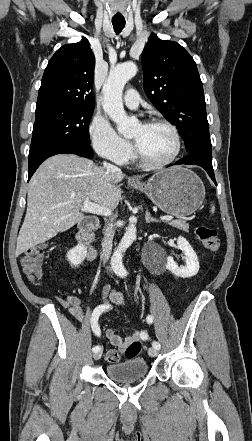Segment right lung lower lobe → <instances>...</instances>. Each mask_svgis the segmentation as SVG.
<instances>
[{"label":"right lung lower lobe","instance_id":"right-lung-lower-lobe-1","mask_svg":"<svg viewBox=\"0 0 252 441\" xmlns=\"http://www.w3.org/2000/svg\"><path fill=\"white\" fill-rule=\"evenodd\" d=\"M61 153L76 154L88 158H91L94 155L92 148L89 146V144L85 143L62 142L45 146L29 153L28 180L43 161L53 155Z\"/></svg>","mask_w":252,"mask_h":441}]
</instances>
